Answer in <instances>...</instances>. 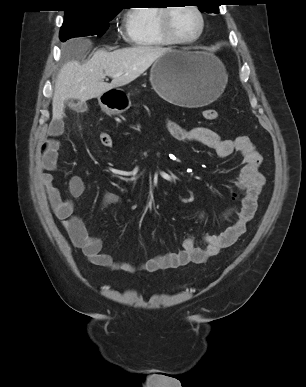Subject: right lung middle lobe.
I'll list each match as a JSON object with an SVG mask.
<instances>
[{
  "label": "right lung middle lobe",
  "instance_id": "right-lung-middle-lobe-1",
  "mask_svg": "<svg viewBox=\"0 0 306 387\" xmlns=\"http://www.w3.org/2000/svg\"><path fill=\"white\" fill-rule=\"evenodd\" d=\"M118 13L119 11H108L93 15H65L60 40L64 42L72 37L102 36L109 27V21Z\"/></svg>",
  "mask_w": 306,
  "mask_h": 387
}]
</instances>
